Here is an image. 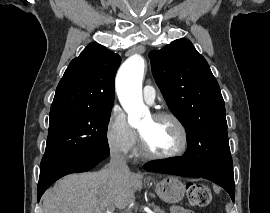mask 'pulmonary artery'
<instances>
[{
	"label": "pulmonary artery",
	"instance_id": "pulmonary-artery-1",
	"mask_svg": "<svg viewBox=\"0 0 270 213\" xmlns=\"http://www.w3.org/2000/svg\"><path fill=\"white\" fill-rule=\"evenodd\" d=\"M143 98L148 104H152L156 98V91L152 86H145L143 91Z\"/></svg>",
	"mask_w": 270,
	"mask_h": 213
}]
</instances>
